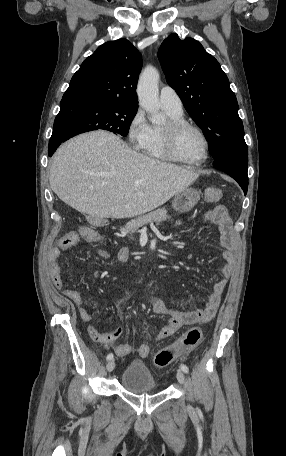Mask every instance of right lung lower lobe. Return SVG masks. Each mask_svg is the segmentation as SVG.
Returning a JSON list of instances; mask_svg holds the SVG:
<instances>
[{
    "instance_id": "98d812e1",
    "label": "right lung lower lobe",
    "mask_w": 286,
    "mask_h": 456,
    "mask_svg": "<svg viewBox=\"0 0 286 456\" xmlns=\"http://www.w3.org/2000/svg\"><path fill=\"white\" fill-rule=\"evenodd\" d=\"M75 96H63L61 100V109L57 117L55 118L54 121V126H53V133L49 142V156H52L57 147L63 142L62 139L57 138V133L58 130L60 129L61 125L64 122V118L66 117L67 114V109L70 103L75 99Z\"/></svg>"
}]
</instances>
